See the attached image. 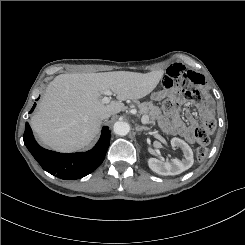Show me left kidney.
<instances>
[{"label":"left kidney","instance_id":"1","mask_svg":"<svg viewBox=\"0 0 245 245\" xmlns=\"http://www.w3.org/2000/svg\"><path fill=\"white\" fill-rule=\"evenodd\" d=\"M172 147H178L182 150L184 158L171 159V161L163 162L156 158L148 159L149 168L160 175H178L188 170L194 163L193 151L191 147L182 139L174 137L171 139Z\"/></svg>","mask_w":245,"mask_h":245}]
</instances>
